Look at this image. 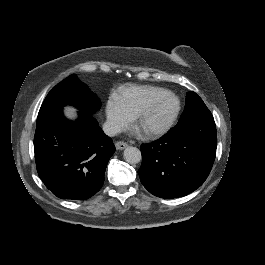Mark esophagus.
Listing matches in <instances>:
<instances>
[{"label":"esophagus","instance_id":"esophagus-1","mask_svg":"<svg viewBox=\"0 0 265 265\" xmlns=\"http://www.w3.org/2000/svg\"><path fill=\"white\" fill-rule=\"evenodd\" d=\"M127 146H128L127 143H125V142H123V141H117V142L115 143V147H116V149H118V150H123V149H125Z\"/></svg>","mask_w":265,"mask_h":265}]
</instances>
